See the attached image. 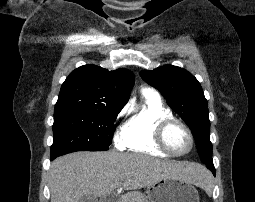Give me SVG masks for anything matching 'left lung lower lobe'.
I'll return each instance as SVG.
<instances>
[{
    "label": "left lung lower lobe",
    "mask_w": 255,
    "mask_h": 202,
    "mask_svg": "<svg viewBox=\"0 0 255 202\" xmlns=\"http://www.w3.org/2000/svg\"><path fill=\"white\" fill-rule=\"evenodd\" d=\"M205 164L212 171V173L215 174V168H214L213 162H206Z\"/></svg>",
    "instance_id": "1"
}]
</instances>
